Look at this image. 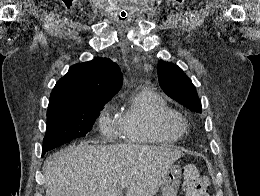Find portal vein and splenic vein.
Returning a JSON list of instances; mask_svg holds the SVG:
<instances>
[{
  "label": "portal vein and splenic vein",
  "instance_id": "portal-vein-and-splenic-vein-1",
  "mask_svg": "<svg viewBox=\"0 0 260 196\" xmlns=\"http://www.w3.org/2000/svg\"><path fill=\"white\" fill-rule=\"evenodd\" d=\"M126 188H129V184H120L119 190H126Z\"/></svg>",
  "mask_w": 260,
  "mask_h": 196
}]
</instances>
